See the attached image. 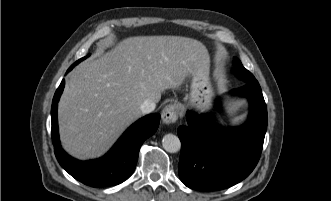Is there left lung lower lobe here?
Instances as JSON below:
<instances>
[{"label": "left lung lower lobe", "instance_id": "0a47b994", "mask_svg": "<svg viewBox=\"0 0 331 201\" xmlns=\"http://www.w3.org/2000/svg\"><path fill=\"white\" fill-rule=\"evenodd\" d=\"M232 93L250 102L247 122L232 130L215 126L208 115L187 113V125L178 128L181 154L178 173L189 188L215 191L245 179L257 165L267 129V108L257 82H246Z\"/></svg>", "mask_w": 331, "mask_h": 201}]
</instances>
